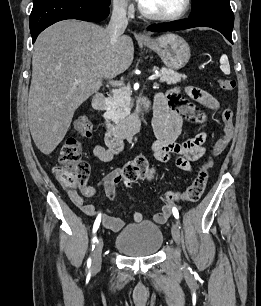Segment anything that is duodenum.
Instances as JSON below:
<instances>
[{
  "mask_svg": "<svg viewBox=\"0 0 261 306\" xmlns=\"http://www.w3.org/2000/svg\"><path fill=\"white\" fill-rule=\"evenodd\" d=\"M92 107L97 111H103L105 107V96L97 93L92 98ZM141 114L130 116L120 122H112L105 119V128L108 133L118 138H128L135 134L141 126Z\"/></svg>",
  "mask_w": 261,
  "mask_h": 306,
  "instance_id": "410a0bca",
  "label": "duodenum"
}]
</instances>
